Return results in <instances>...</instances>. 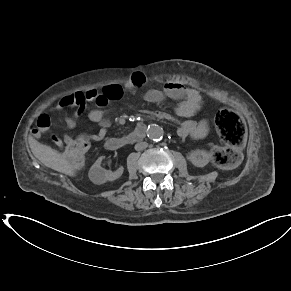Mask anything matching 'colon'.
Wrapping results in <instances>:
<instances>
[{
	"label": "colon",
	"instance_id": "obj_1",
	"mask_svg": "<svg viewBox=\"0 0 291 291\" xmlns=\"http://www.w3.org/2000/svg\"><path fill=\"white\" fill-rule=\"evenodd\" d=\"M60 106L67 107L74 105V96L68 95L59 101ZM215 124L226 147L215 146L211 155L213 162L223 168L235 165L240 157V148L246 137V127L241 117L230 109L218 111ZM89 146L88 138L85 135L73 137L67 145L66 154L74 166H78L86 154Z\"/></svg>",
	"mask_w": 291,
	"mask_h": 291
}]
</instances>
